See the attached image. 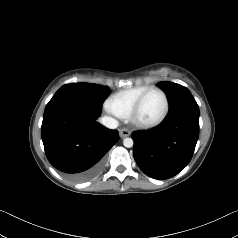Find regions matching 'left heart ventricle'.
Masks as SVG:
<instances>
[{
    "label": "left heart ventricle",
    "instance_id": "left-heart-ventricle-1",
    "mask_svg": "<svg viewBox=\"0 0 238 238\" xmlns=\"http://www.w3.org/2000/svg\"><path fill=\"white\" fill-rule=\"evenodd\" d=\"M164 107L163 95L158 91H153L145 98L138 113V119L142 122L154 121L162 114Z\"/></svg>",
    "mask_w": 238,
    "mask_h": 238
}]
</instances>
